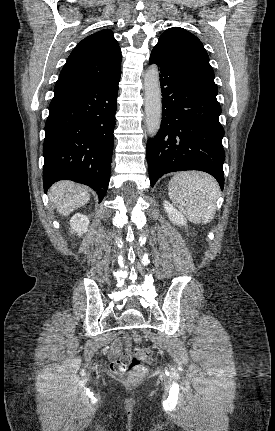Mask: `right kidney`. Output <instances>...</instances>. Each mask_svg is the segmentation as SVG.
I'll list each match as a JSON object with an SVG mask.
<instances>
[{"instance_id": "ca27d5eb", "label": "right kidney", "mask_w": 275, "mask_h": 431, "mask_svg": "<svg viewBox=\"0 0 275 431\" xmlns=\"http://www.w3.org/2000/svg\"><path fill=\"white\" fill-rule=\"evenodd\" d=\"M89 220L87 216L77 213L70 220L71 233H77L81 236L87 230Z\"/></svg>"}]
</instances>
